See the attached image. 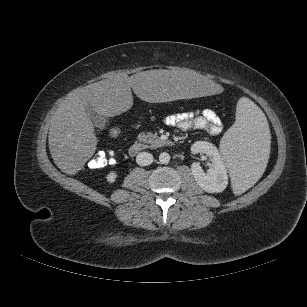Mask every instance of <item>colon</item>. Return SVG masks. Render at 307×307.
<instances>
[{
  "instance_id": "obj_1",
  "label": "colon",
  "mask_w": 307,
  "mask_h": 307,
  "mask_svg": "<svg viewBox=\"0 0 307 307\" xmlns=\"http://www.w3.org/2000/svg\"><path fill=\"white\" fill-rule=\"evenodd\" d=\"M120 134L121 129L119 127H112L109 130V135L113 138L118 137ZM116 159L117 154L115 151H97L88 159L87 164L91 169H99L115 163Z\"/></svg>"
}]
</instances>
